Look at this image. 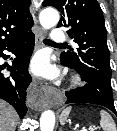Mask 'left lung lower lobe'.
Here are the masks:
<instances>
[{"label":"left lung lower lobe","instance_id":"1","mask_svg":"<svg viewBox=\"0 0 117 131\" xmlns=\"http://www.w3.org/2000/svg\"><path fill=\"white\" fill-rule=\"evenodd\" d=\"M63 65L72 68L66 64ZM75 70H77L81 74L82 80L86 82V85L84 87L77 88L75 90L66 91L65 92L67 97L66 104L84 103V102L97 104L110 109L117 116V112L114 107L111 88L93 81L78 69Z\"/></svg>","mask_w":117,"mask_h":131}]
</instances>
